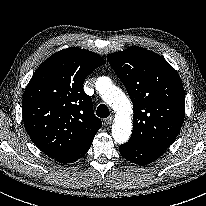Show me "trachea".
<instances>
[{
  "instance_id": "obj_1",
  "label": "trachea",
  "mask_w": 206,
  "mask_h": 206,
  "mask_svg": "<svg viewBox=\"0 0 206 206\" xmlns=\"http://www.w3.org/2000/svg\"><path fill=\"white\" fill-rule=\"evenodd\" d=\"M96 114L98 117L100 118H107L110 114V111H109V108L107 107V105L105 104H100L98 107H97V111H96Z\"/></svg>"
}]
</instances>
